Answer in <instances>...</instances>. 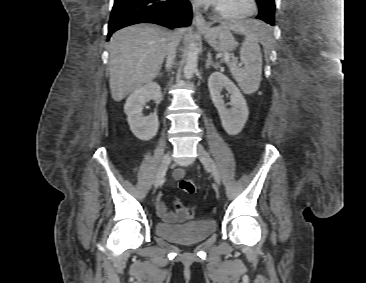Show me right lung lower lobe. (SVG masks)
Here are the masks:
<instances>
[{
  "label": "right lung lower lobe",
  "mask_w": 366,
  "mask_h": 283,
  "mask_svg": "<svg viewBox=\"0 0 366 283\" xmlns=\"http://www.w3.org/2000/svg\"><path fill=\"white\" fill-rule=\"evenodd\" d=\"M192 7L188 0H114L108 35L138 23H155L168 28L189 26Z\"/></svg>",
  "instance_id": "98d812e1"
}]
</instances>
